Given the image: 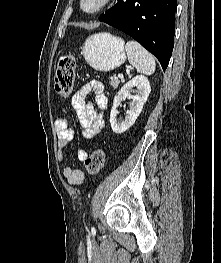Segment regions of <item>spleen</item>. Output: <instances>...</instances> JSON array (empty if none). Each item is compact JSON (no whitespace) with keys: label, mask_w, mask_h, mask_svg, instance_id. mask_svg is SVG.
I'll return each instance as SVG.
<instances>
[{"label":"spleen","mask_w":221,"mask_h":263,"mask_svg":"<svg viewBox=\"0 0 221 263\" xmlns=\"http://www.w3.org/2000/svg\"><path fill=\"white\" fill-rule=\"evenodd\" d=\"M125 50L129 63L136 68L138 73L145 75L154 73L156 67L154 57L137 41H128Z\"/></svg>","instance_id":"spleen-1"}]
</instances>
